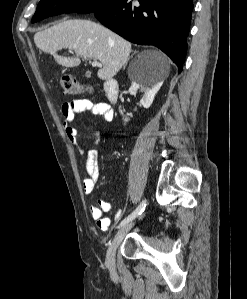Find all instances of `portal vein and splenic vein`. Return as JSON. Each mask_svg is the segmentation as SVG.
I'll list each match as a JSON object with an SVG mask.
<instances>
[{
	"label": "portal vein and splenic vein",
	"mask_w": 247,
	"mask_h": 299,
	"mask_svg": "<svg viewBox=\"0 0 247 299\" xmlns=\"http://www.w3.org/2000/svg\"><path fill=\"white\" fill-rule=\"evenodd\" d=\"M92 66H94V67H102V64L95 60V61L92 62Z\"/></svg>",
	"instance_id": "18ae733b"
}]
</instances>
